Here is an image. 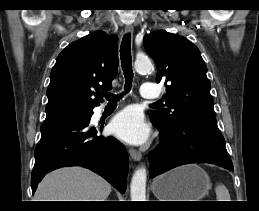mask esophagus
Segmentation results:
<instances>
[{
	"label": "esophagus",
	"instance_id": "obj_1",
	"mask_svg": "<svg viewBox=\"0 0 259 211\" xmlns=\"http://www.w3.org/2000/svg\"><path fill=\"white\" fill-rule=\"evenodd\" d=\"M125 31H126V33L132 34L133 31H134V28H133L132 25H129V24H128V25L125 26ZM129 154H130V156L132 157V159L135 160V161H139V160H141V158H142L141 153L138 152L137 150L133 149V148H131V149L129 150Z\"/></svg>",
	"mask_w": 259,
	"mask_h": 211
}]
</instances>
